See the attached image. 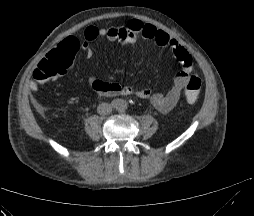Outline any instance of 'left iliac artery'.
I'll use <instances>...</instances> for the list:
<instances>
[{"instance_id": "obj_1", "label": "left iliac artery", "mask_w": 254, "mask_h": 216, "mask_svg": "<svg viewBox=\"0 0 254 216\" xmlns=\"http://www.w3.org/2000/svg\"><path fill=\"white\" fill-rule=\"evenodd\" d=\"M121 109H122V110H125V109H126V105H125L124 103H122Z\"/></svg>"}]
</instances>
